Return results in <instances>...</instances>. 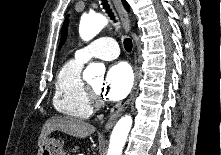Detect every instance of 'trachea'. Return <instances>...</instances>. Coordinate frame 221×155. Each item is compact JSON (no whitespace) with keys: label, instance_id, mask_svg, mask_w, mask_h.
I'll return each instance as SVG.
<instances>
[{"label":"trachea","instance_id":"obj_1","mask_svg":"<svg viewBox=\"0 0 221 155\" xmlns=\"http://www.w3.org/2000/svg\"><path fill=\"white\" fill-rule=\"evenodd\" d=\"M102 5H103V8L106 10V13H108L109 17L114 22H116L115 16H114L112 10L110 9V5L108 4V1L102 0ZM124 48L127 52H131V50H132V40L131 39H129V38L124 39Z\"/></svg>","mask_w":221,"mask_h":155}]
</instances>
